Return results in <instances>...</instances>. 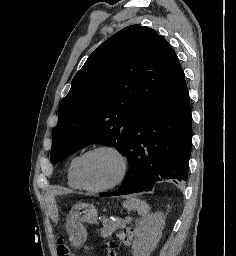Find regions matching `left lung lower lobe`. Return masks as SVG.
Segmentation results:
<instances>
[{
    "mask_svg": "<svg viewBox=\"0 0 236 256\" xmlns=\"http://www.w3.org/2000/svg\"><path fill=\"white\" fill-rule=\"evenodd\" d=\"M192 121L184 76L151 103L134 122L125 156L129 171L115 192L118 196L151 191L163 179L186 181Z\"/></svg>",
    "mask_w": 236,
    "mask_h": 256,
    "instance_id": "1",
    "label": "left lung lower lobe"
}]
</instances>
